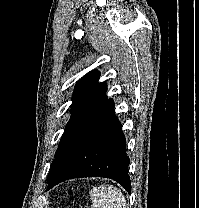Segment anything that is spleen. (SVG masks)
Returning <instances> with one entry per match:
<instances>
[{
    "label": "spleen",
    "instance_id": "1",
    "mask_svg": "<svg viewBox=\"0 0 199 208\" xmlns=\"http://www.w3.org/2000/svg\"><path fill=\"white\" fill-rule=\"evenodd\" d=\"M92 208H128L125 196L112 185H100L90 192Z\"/></svg>",
    "mask_w": 199,
    "mask_h": 208
}]
</instances>
